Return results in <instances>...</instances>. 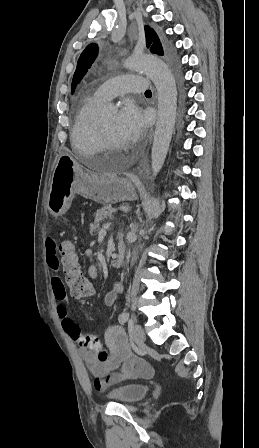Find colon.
I'll return each mask as SVG.
<instances>
[{
  "mask_svg": "<svg viewBox=\"0 0 259 448\" xmlns=\"http://www.w3.org/2000/svg\"><path fill=\"white\" fill-rule=\"evenodd\" d=\"M61 265L64 280L71 295L75 298H88L95 294L94 285L82 271L81 257L71 242H63L60 245ZM80 345L95 352L100 362L109 358V353L101 348L100 339L95 334L83 335Z\"/></svg>",
  "mask_w": 259,
  "mask_h": 448,
  "instance_id": "colon-1",
  "label": "colon"
}]
</instances>
